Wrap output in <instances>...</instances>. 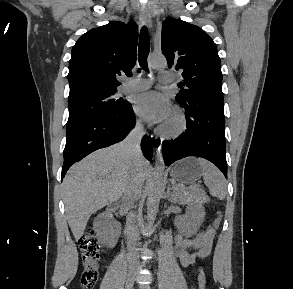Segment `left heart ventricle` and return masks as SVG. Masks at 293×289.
I'll list each match as a JSON object with an SVG mask.
<instances>
[{
  "instance_id": "obj_1",
  "label": "left heart ventricle",
  "mask_w": 293,
  "mask_h": 289,
  "mask_svg": "<svg viewBox=\"0 0 293 289\" xmlns=\"http://www.w3.org/2000/svg\"><path fill=\"white\" fill-rule=\"evenodd\" d=\"M165 123L171 126V125H173L175 122H174V119L170 117Z\"/></svg>"
}]
</instances>
